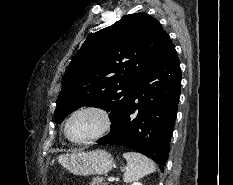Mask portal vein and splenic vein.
Instances as JSON below:
<instances>
[{"label": "portal vein and splenic vein", "instance_id": "obj_1", "mask_svg": "<svg viewBox=\"0 0 233 185\" xmlns=\"http://www.w3.org/2000/svg\"><path fill=\"white\" fill-rule=\"evenodd\" d=\"M109 182H113L114 180H115V178L114 177H108V179H107Z\"/></svg>", "mask_w": 233, "mask_h": 185}]
</instances>
